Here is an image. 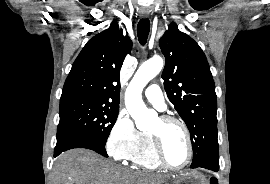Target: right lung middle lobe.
Listing matches in <instances>:
<instances>
[{
	"label": "right lung middle lobe",
	"mask_w": 270,
	"mask_h": 184,
	"mask_svg": "<svg viewBox=\"0 0 270 184\" xmlns=\"http://www.w3.org/2000/svg\"><path fill=\"white\" fill-rule=\"evenodd\" d=\"M118 112V106L85 98L60 99L57 139L82 136L105 146Z\"/></svg>",
	"instance_id": "1"
}]
</instances>
